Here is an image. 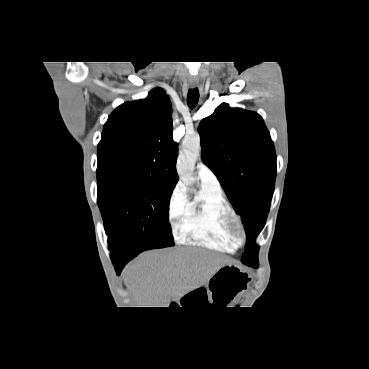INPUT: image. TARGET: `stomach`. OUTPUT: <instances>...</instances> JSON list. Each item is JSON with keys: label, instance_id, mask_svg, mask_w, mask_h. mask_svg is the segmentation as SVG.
<instances>
[{"label": "stomach", "instance_id": "obj_1", "mask_svg": "<svg viewBox=\"0 0 369 369\" xmlns=\"http://www.w3.org/2000/svg\"><path fill=\"white\" fill-rule=\"evenodd\" d=\"M250 276L235 264L222 265L208 280L204 289L214 302L227 305L245 291Z\"/></svg>", "mask_w": 369, "mask_h": 369}]
</instances>
